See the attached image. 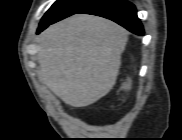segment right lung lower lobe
Here are the masks:
<instances>
[{
    "label": "right lung lower lobe",
    "instance_id": "right-lung-lower-lobe-1",
    "mask_svg": "<svg viewBox=\"0 0 182 140\" xmlns=\"http://www.w3.org/2000/svg\"><path fill=\"white\" fill-rule=\"evenodd\" d=\"M76 13L101 16L113 20L137 35L144 34L135 6L126 0H94ZM47 27L39 28L37 33Z\"/></svg>",
    "mask_w": 182,
    "mask_h": 140
}]
</instances>
